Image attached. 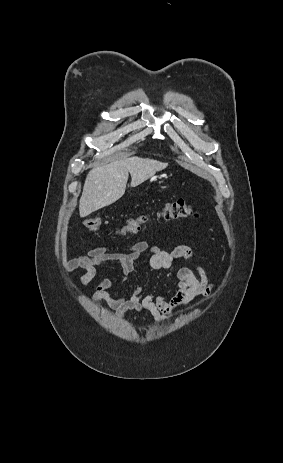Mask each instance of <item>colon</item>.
Returning <instances> with one entry per match:
<instances>
[{
    "label": "colon",
    "mask_w": 283,
    "mask_h": 463,
    "mask_svg": "<svg viewBox=\"0 0 283 463\" xmlns=\"http://www.w3.org/2000/svg\"><path fill=\"white\" fill-rule=\"evenodd\" d=\"M161 217L165 220H182L194 215L192 207L184 200H174L167 202L161 211ZM146 217L144 215H136L127 220L123 232L136 233L140 230ZM84 227L92 232H99L103 225V219L99 216L88 217L83 222Z\"/></svg>",
    "instance_id": "1"
}]
</instances>
